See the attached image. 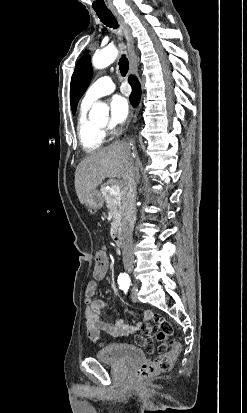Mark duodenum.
Instances as JSON below:
<instances>
[{
  "label": "duodenum",
  "mask_w": 247,
  "mask_h": 413,
  "mask_svg": "<svg viewBox=\"0 0 247 413\" xmlns=\"http://www.w3.org/2000/svg\"><path fill=\"white\" fill-rule=\"evenodd\" d=\"M110 239L114 245H121L123 241V236L120 230L112 229L110 232Z\"/></svg>",
  "instance_id": "obj_1"
}]
</instances>
